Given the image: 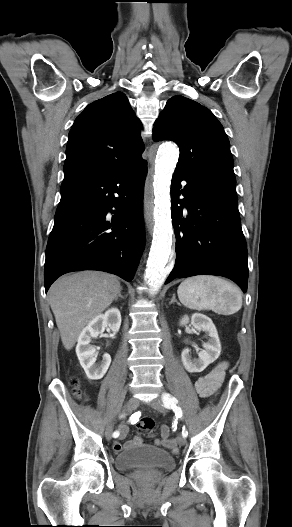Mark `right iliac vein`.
Wrapping results in <instances>:
<instances>
[{
  "label": "right iliac vein",
  "instance_id": "right-iliac-vein-1",
  "mask_svg": "<svg viewBox=\"0 0 292 527\" xmlns=\"http://www.w3.org/2000/svg\"><path fill=\"white\" fill-rule=\"evenodd\" d=\"M138 405H139V401H138V399L132 397V398H130V399L127 401V403L125 404V409H126L127 411H130V412H131V411L137 409ZM112 432H113V424L110 423V424L107 426V428H106V432H105L106 438H107L108 440L111 439Z\"/></svg>",
  "mask_w": 292,
  "mask_h": 527
}]
</instances>
